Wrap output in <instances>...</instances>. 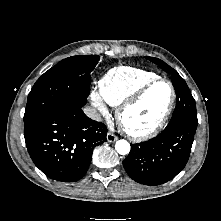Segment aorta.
<instances>
[{
    "label": "aorta",
    "mask_w": 221,
    "mask_h": 221,
    "mask_svg": "<svg viewBox=\"0 0 221 221\" xmlns=\"http://www.w3.org/2000/svg\"><path fill=\"white\" fill-rule=\"evenodd\" d=\"M115 149L120 155H126L130 152V144L126 140H118Z\"/></svg>",
    "instance_id": "762f6f07"
}]
</instances>
